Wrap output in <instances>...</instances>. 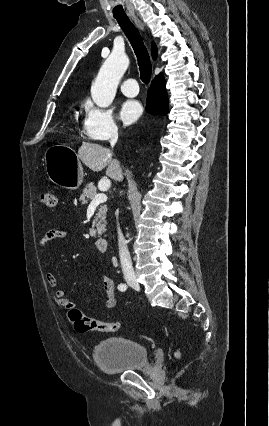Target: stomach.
I'll return each mask as SVG.
<instances>
[{
  "label": "stomach",
  "instance_id": "1",
  "mask_svg": "<svg viewBox=\"0 0 269 426\" xmlns=\"http://www.w3.org/2000/svg\"><path fill=\"white\" fill-rule=\"evenodd\" d=\"M45 170L50 181L76 190L83 182V167L77 154L65 145H53L44 154Z\"/></svg>",
  "mask_w": 269,
  "mask_h": 426
}]
</instances>
